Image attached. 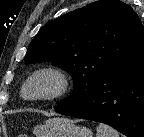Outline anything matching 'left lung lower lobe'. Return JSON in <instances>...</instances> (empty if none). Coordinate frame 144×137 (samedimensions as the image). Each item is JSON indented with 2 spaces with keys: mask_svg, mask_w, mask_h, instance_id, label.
Returning <instances> with one entry per match:
<instances>
[{
  "mask_svg": "<svg viewBox=\"0 0 144 137\" xmlns=\"http://www.w3.org/2000/svg\"><path fill=\"white\" fill-rule=\"evenodd\" d=\"M56 112L108 124L128 137H144V30L84 99L59 105Z\"/></svg>",
  "mask_w": 144,
  "mask_h": 137,
  "instance_id": "left-lung-lower-lobe-1",
  "label": "left lung lower lobe"
}]
</instances>
